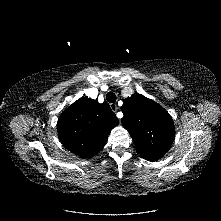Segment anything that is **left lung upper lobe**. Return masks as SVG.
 Returning a JSON list of instances; mask_svg holds the SVG:
<instances>
[{
	"mask_svg": "<svg viewBox=\"0 0 221 221\" xmlns=\"http://www.w3.org/2000/svg\"><path fill=\"white\" fill-rule=\"evenodd\" d=\"M122 112V124L144 159L156 161L170 149L174 124L164 108L137 93L124 100Z\"/></svg>",
	"mask_w": 221,
	"mask_h": 221,
	"instance_id": "1",
	"label": "left lung upper lobe"
}]
</instances>
